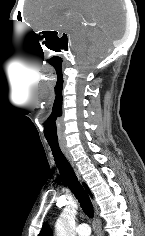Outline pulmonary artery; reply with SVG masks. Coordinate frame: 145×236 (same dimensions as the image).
<instances>
[{
    "mask_svg": "<svg viewBox=\"0 0 145 236\" xmlns=\"http://www.w3.org/2000/svg\"><path fill=\"white\" fill-rule=\"evenodd\" d=\"M90 231V227L86 223H81L76 228V233L78 236H89Z\"/></svg>",
    "mask_w": 145,
    "mask_h": 236,
    "instance_id": "e3ab8cb5",
    "label": "pulmonary artery"
}]
</instances>
